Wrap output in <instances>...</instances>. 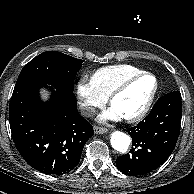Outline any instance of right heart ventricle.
I'll use <instances>...</instances> for the list:
<instances>
[{
	"instance_id": "right-heart-ventricle-1",
	"label": "right heart ventricle",
	"mask_w": 194,
	"mask_h": 194,
	"mask_svg": "<svg viewBox=\"0 0 194 194\" xmlns=\"http://www.w3.org/2000/svg\"><path fill=\"white\" fill-rule=\"evenodd\" d=\"M141 71L143 70L127 64L105 66L92 74L91 81L97 92L107 99L124 79Z\"/></svg>"
}]
</instances>
